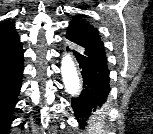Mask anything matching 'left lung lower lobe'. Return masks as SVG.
<instances>
[{
  "label": "left lung lower lobe",
  "mask_w": 153,
  "mask_h": 134,
  "mask_svg": "<svg viewBox=\"0 0 153 134\" xmlns=\"http://www.w3.org/2000/svg\"><path fill=\"white\" fill-rule=\"evenodd\" d=\"M67 50L68 47H67ZM82 70L83 90L78 98L72 99V107L81 127L86 125L85 119L106 101L110 91L109 69L107 58L86 50H71Z\"/></svg>",
  "instance_id": "left-lung-lower-lobe-1"
}]
</instances>
